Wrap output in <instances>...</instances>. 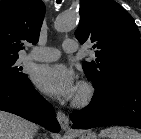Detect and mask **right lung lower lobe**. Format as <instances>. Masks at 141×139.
<instances>
[{
    "mask_svg": "<svg viewBox=\"0 0 141 139\" xmlns=\"http://www.w3.org/2000/svg\"><path fill=\"white\" fill-rule=\"evenodd\" d=\"M0 110L21 116L52 132H59L54 108L27 79L17 84H0Z\"/></svg>",
    "mask_w": 141,
    "mask_h": 139,
    "instance_id": "obj_1",
    "label": "right lung lower lobe"
}]
</instances>
